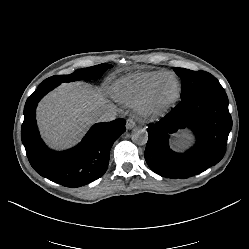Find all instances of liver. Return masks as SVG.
I'll list each match as a JSON object with an SVG mask.
<instances>
[{
	"mask_svg": "<svg viewBox=\"0 0 249 249\" xmlns=\"http://www.w3.org/2000/svg\"><path fill=\"white\" fill-rule=\"evenodd\" d=\"M102 106V95L92 86L82 82L64 84L39 105L42 134L56 147L70 145L95 121L94 113Z\"/></svg>",
	"mask_w": 249,
	"mask_h": 249,
	"instance_id": "6515ba94",
	"label": "liver"
}]
</instances>
